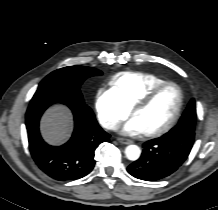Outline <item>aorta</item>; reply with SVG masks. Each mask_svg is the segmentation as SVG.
<instances>
[{
    "label": "aorta",
    "instance_id": "1",
    "mask_svg": "<svg viewBox=\"0 0 218 210\" xmlns=\"http://www.w3.org/2000/svg\"><path fill=\"white\" fill-rule=\"evenodd\" d=\"M127 159L136 161L141 155V149L137 145H129L125 148Z\"/></svg>",
    "mask_w": 218,
    "mask_h": 210
}]
</instances>
